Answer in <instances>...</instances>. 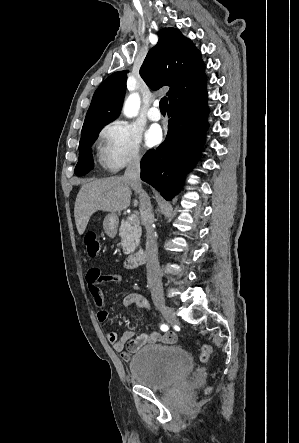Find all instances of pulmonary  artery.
Returning <instances> with one entry per match:
<instances>
[{"label":"pulmonary artery","instance_id":"1","mask_svg":"<svg viewBox=\"0 0 299 443\" xmlns=\"http://www.w3.org/2000/svg\"><path fill=\"white\" fill-rule=\"evenodd\" d=\"M147 116L152 121H159L161 119V113L159 111V101L155 100L152 103L151 108L148 110Z\"/></svg>","mask_w":299,"mask_h":443}]
</instances>
